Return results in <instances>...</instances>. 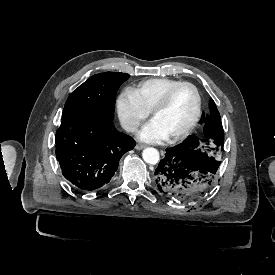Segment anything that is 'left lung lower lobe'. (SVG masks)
Listing matches in <instances>:
<instances>
[{
    "label": "left lung lower lobe",
    "instance_id": "0a47b994",
    "mask_svg": "<svg viewBox=\"0 0 275 275\" xmlns=\"http://www.w3.org/2000/svg\"><path fill=\"white\" fill-rule=\"evenodd\" d=\"M153 178L159 191L169 198L193 199L214 185L216 171L177 153L172 147L166 149Z\"/></svg>",
    "mask_w": 275,
    "mask_h": 275
}]
</instances>
